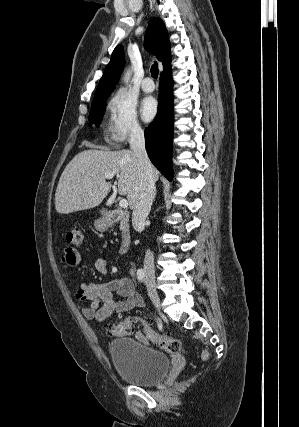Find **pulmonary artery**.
Instances as JSON below:
<instances>
[{
	"mask_svg": "<svg viewBox=\"0 0 299 427\" xmlns=\"http://www.w3.org/2000/svg\"><path fill=\"white\" fill-rule=\"evenodd\" d=\"M141 87L144 92H147V93L152 92L154 90V84L152 79L150 77H146L143 80Z\"/></svg>",
	"mask_w": 299,
	"mask_h": 427,
	"instance_id": "pulmonary-artery-1",
	"label": "pulmonary artery"
}]
</instances>
